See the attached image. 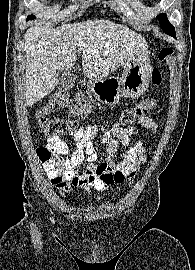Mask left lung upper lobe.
Returning <instances> with one entry per match:
<instances>
[{"mask_svg":"<svg viewBox=\"0 0 195 270\" xmlns=\"http://www.w3.org/2000/svg\"><path fill=\"white\" fill-rule=\"evenodd\" d=\"M160 26L162 27V30L166 33L171 35H175V28L169 23L167 17L165 14H160L158 16Z\"/></svg>","mask_w":195,"mask_h":270,"instance_id":"1","label":"left lung upper lobe"}]
</instances>
